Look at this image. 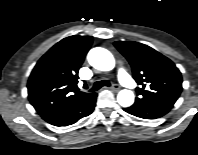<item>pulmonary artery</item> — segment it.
<instances>
[{"label": "pulmonary artery", "mask_w": 198, "mask_h": 155, "mask_svg": "<svg viewBox=\"0 0 198 155\" xmlns=\"http://www.w3.org/2000/svg\"><path fill=\"white\" fill-rule=\"evenodd\" d=\"M116 75L123 86L133 89L135 87V83L130 78L127 70L123 66H118L116 68Z\"/></svg>", "instance_id": "e3ab8cb5"}]
</instances>
